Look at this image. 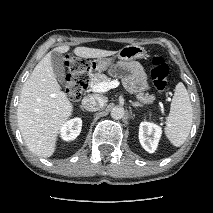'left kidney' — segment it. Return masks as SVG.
Returning <instances> with one entry per match:
<instances>
[{
  "mask_svg": "<svg viewBox=\"0 0 213 213\" xmlns=\"http://www.w3.org/2000/svg\"><path fill=\"white\" fill-rule=\"evenodd\" d=\"M162 134L160 126L150 123L141 122L139 126V141L141 146L149 153H154Z\"/></svg>",
  "mask_w": 213,
  "mask_h": 213,
  "instance_id": "left-kidney-1",
  "label": "left kidney"
}]
</instances>
